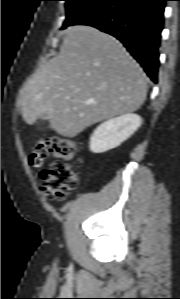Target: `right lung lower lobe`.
<instances>
[{
	"label": "right lung lower lobe",
	"mask_w": 180,
	"mask_h": 299,
	"mask_svg": "<svg viewBox=\"0 0 180 299\" xmlns=\"http://www.w3.org/2000/svg\"><path fill=\"white\" fill-rule=\"evenodd\" d=\"M165 1L103 0L71 25L93 26L116 37L156 83Z\"/></svg>",
	"instance_id": "obj_1"
}]
</instances>
